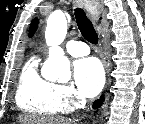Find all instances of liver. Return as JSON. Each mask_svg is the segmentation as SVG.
I'll return each mask as SVG.
<instances>
[{
	"label": "liver",
	"mask_w": 145,
	"mask_h": 124,
	"mask_svg": "<svg viewBox=\"0 0 145 124\" xmlns=\"http://www.w3.org/2000/svg\"><path fill=\"white\" fill-rule=\"evenodd\" d=\"M18 120L20 124H72L70 120L60 117L22 115Z\"/></svg>",
	"instance_id": "1"
}]
</instances>
